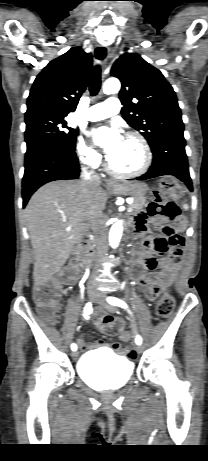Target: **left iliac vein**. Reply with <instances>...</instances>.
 I'll return each instance as SVG.
<instances>
[{
  "label": "left iliac vein",
  "instance_id": "1",
  "mask_svg": "<svg viewBox=\"0 0 208 461\" xmlns=\"http://www.w3.org/2000/svg\"><path fill=\"white\" fill-rule=\"evenodd\" d=\"M95 301H96L97 303H99L100 305H102V306H103L105 309H107L108 311H110V312H114V311H115V308H114L112 305L108 304V303L105 301L103 294H101V293L97 294V297H96V300H95ZM136 351H137V353H139V354L142 353L143 347H142L141 345H137V346H136Z\"/></svg>",
  "mask_w": 208,
  "mask_h": 461
}]
</instances>
